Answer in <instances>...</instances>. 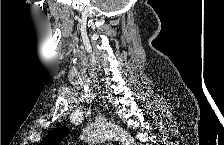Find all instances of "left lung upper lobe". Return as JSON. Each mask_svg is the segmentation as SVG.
Instances as JSON below:
<instances>
[{
    "label": "left lung upper lobe",
    "instance_id": "obj_1",
    "mask_svg": "<svg viewBox=\"0 0 224 145\" xmlns=\"http://www.w3.org/2000/svg\"><path fill=\"white\" fill-rule=\"evenodd\" d=\"M67 127H59L52 131L41 143V145H58L67 135Z\"/></svg>",
    "mask_w": 224,
    "mask_h": 145
}]
</instances>
